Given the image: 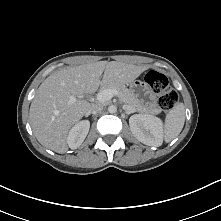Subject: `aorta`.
<instances>
[{
    "mask_svg": "<svg viewBox=\"0 0 221 221\" xmlns=\"http://www.w3.org/2000/svg\"><path fill=\"white\" fill-rule=\"evenodd\" d=\"M108 111H109V113H116L117 112V107L115 106V105H110L109 107H108Z\"/></svg>",
    "mask_w": 221,
    "mask_h": 221,
    "instance_id": "1",
    "label": "aorta"
}]
</instances>
